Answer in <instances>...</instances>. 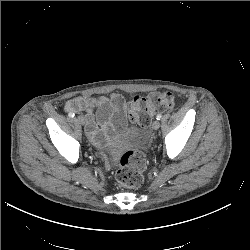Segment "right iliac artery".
Returning <instances> with one entry per match:
<instances>
[{"label":"right iliac artery","instance_id":"1","mask_svg":"<svg viewBox=\"0 0 250 250\" xmlns=\"http://www.w3.org/2000/svg\"><path fill=\"white\" fill-rule=\"evenodd\" d=\"M68 116H69L70 118H73V117L75 116V114H74V113H69Z\"/></svg>","mask_w":250,"mask_h":250}]
</instances>
